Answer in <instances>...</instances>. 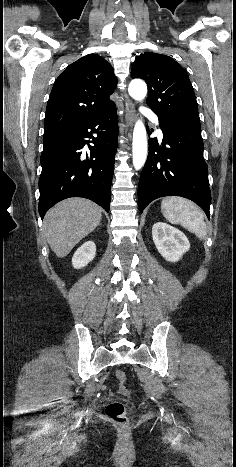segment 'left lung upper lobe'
Here are the masks:
<instances>
[{"instance_id":"left-lung-upper-lobe-1","label":"left lung upper lobe","mask_w":236,"mask_h":467,"mask_svg":"<svg viewBox=\"0 0 236 467\" xmlns=\"http://www.w3.org/2000/svg\"><path fill=\"white\" fill-rule=\"evenodd\" d=\"M131 77L146 81L147 105L159 118L199 119L197 101L188 74L171 57L144 53L133 63Z\"/></svg>"}]
</instances>
